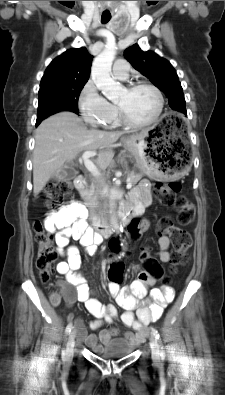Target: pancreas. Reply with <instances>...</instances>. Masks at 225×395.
Segmentation results:
<instances>
[{
	"mask_svg": "<svg viewBox=\"0 0 225 395\" xmlns=\"http://www.w3.org/2000/svg\"><path fill=\"white\" fill-rule=\"evenodd\" d=\"M128 178L134 186L142 178V174L131 173ZM80 195L85 201L86 206L93 210L99 206L98 199L102 196V190L98 184L92 183L89 188L80 190Z\"/></svg>",
	"mask_w": 225,
	"mask_h": 395,
	"instance_id": "cf45deb5",
	"label": "pancreas"
}]
</instances>
